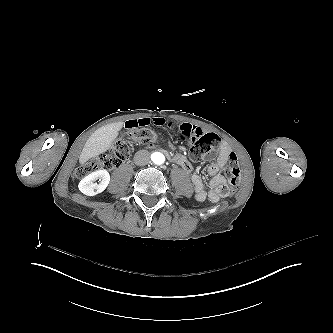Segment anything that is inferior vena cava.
<instances>
[{
  "instance_id": "602c4592",
  "label": "inferior vena cava",
  "mask_w": 333,
  "mask_h": 333,
  "mask_svg": "<svg viewBox=\"0 0 333 333\" xmlns=\"http://www.w3.org/2000/svg\"><path fill=\"white\" fill-rule=\"evenodd\" d=\"M150 162V153L147 150H140L134 156V163L138 166L147 165Z\"/></svg>"
}]
</instances>
